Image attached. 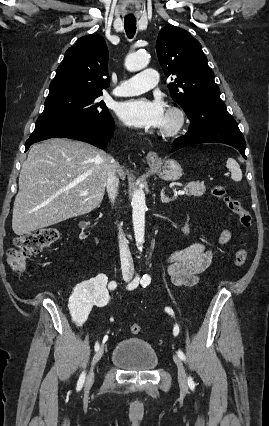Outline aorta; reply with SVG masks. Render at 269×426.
<instances>
[{"label":"aorta","instance_id":"obj_1","mask_svg":"<svg viewBox=\"0 0 269 426\" xmlns=\"http://www.w3.org/2000/svg\"><path fill=\"white\" fill-rule=\"evenodd\" d=\"M149 55L146 52L129 54L125 59V67L129 71H138L149 63ZM131 206L133 208V228L135 241L141 250L145 234V193L142 189H136L132 195Z\"/></svg>","mask_w":269,"mask_h":426}]
</instances>
